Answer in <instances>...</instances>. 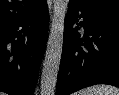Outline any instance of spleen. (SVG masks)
I'll return each instance as SVG.
<instances>
[{"mask_svg":"<svg viewBox=\"0 0 119 95\" xmlns=\"http://www.w3.org/2000/svg\"><path fill=\"white\" fill-rule=\"evenodd\" d=\"M78 95H119V89L110 85H95L80 91Z\"/></svg>","mask_w":119,"mask_h":95,"instance_id":"spleen-1","label":"spleen"}]
</instances>
